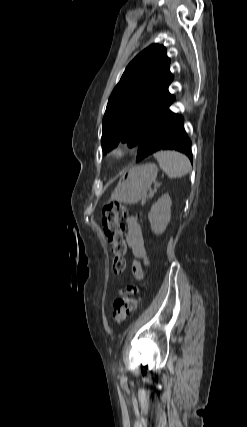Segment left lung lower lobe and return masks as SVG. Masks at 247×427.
<instances>
[{"mask_svg": "<svg viewBox=\"0 0 247 427\" xmlns=\"http://www.w3.org/2000/svg\"><path fill=\"white\" fill-rule=\"evenodd\" d=\"M183 117L167 108L146 129L139 143L136 161L160 150H177L187 155L192 163L191 141L184 127Z\"/></svg>", "mask_w": 247, "mask_h": 427, "instance_id": "left-lung-lower-lobe-1", "label": "left lung lower lobe"}]
</instances>
